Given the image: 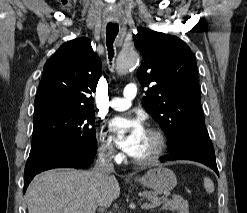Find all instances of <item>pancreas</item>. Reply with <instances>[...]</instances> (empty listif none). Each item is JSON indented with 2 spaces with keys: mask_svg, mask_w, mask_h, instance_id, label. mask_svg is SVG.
<instances>
[{
  "mask_svg": "<svg viewBox=\"0 0 247 213\" xmlns=\"http://www.w3.org/2000/svg\"><path fill=\"white\" fill-rule=\"evenodd\" d=\"M142 196L151 204L160 201L162 204L161 210L178 211L179 213H188V202L179 195H173L172 199L167 196L159 197V194L151 191H144Z\"/></svg>",
  "mask_w": 247,
  "mask_h": 213,
  "instance_id": "cf45deb5",
  "label": "pancreas"
}]
</instances>
